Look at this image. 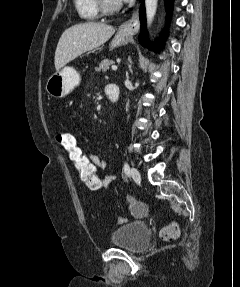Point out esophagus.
<instances>
[{
  "instance_id": "1",
  "label": "esophagus",
  "mask_w": 240,
  "mask_h": 287,
  "mask_svg": "<svg viewBox=\"0 0 240 287\" xmlns=\"http://www.w3.org/2000/svg\"><path fill=\"white\" fill-rule=\"evenodd\" d=\"M139 28L140 20L138 10H136L132 17L120 26L119 32L123 35L132 36L138 32Z\"/></svg>"
}]
</instances>
